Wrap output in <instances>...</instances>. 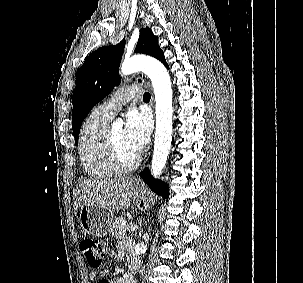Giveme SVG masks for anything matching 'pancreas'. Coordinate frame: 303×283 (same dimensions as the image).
<instances>
[{
	"label": "pancreas",
	"instance_id": "obj_1",
	"mask_svg": "<svg viewBox=\"0 0 303 283\" xmlns=\"http://www.w3.org/2000/svg\"><path fill=\"white\" fill-rule=\"evenodd\" d=\"M123 222H125V219L123 217H118L114 219L110 230L112 237L116 239H123L127 236L129 232L128 227L130 225L129 224L122 225Z\"/></svg>",
	"mask_w": 303,
	"mask_h": 283
}]
</instances>
